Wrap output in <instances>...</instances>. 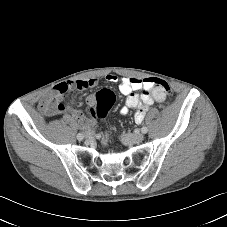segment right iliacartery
Instances as JSON below:
<instances>
[{
  "label": "right iliac artery",
  "mask_w": 227,
  "mask_h": 227,
  "mask_svg": "<svg viewBox=\"0 0 227 227\" xmlns=\"http://www.w3.org/2000/svg\"><path fill=\"white\" fill-rule=\"evenodd\" d=\"M83 138H84V134H83V133H78V134H77V139H78L79 141L83 140Z\"/></svg>",
  "instance_id": "obj_1"
}]
</instances>
